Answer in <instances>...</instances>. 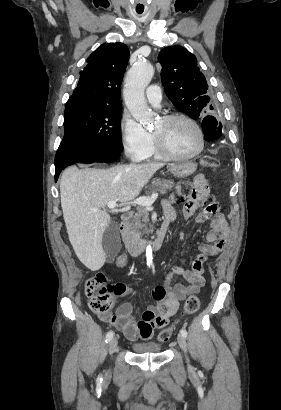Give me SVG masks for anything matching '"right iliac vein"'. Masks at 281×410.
Instances as JSON below:
<instances>
[{"mask_svg":"<svg viewBox=\"0 0 281 410\" xmlns=\"http://www.w3.org/2000/svg\"><path fill=\"white\" fill-rule=\"evenodd\" d=\"M117 344H118L117 338H113L110 340L109 342V353L110 354H113L116 351Z\"/></svg>","mask_w":281,"mask_h":410,"instance_id":"63e3f726","label":"right iliac vein"}]
</instances>
